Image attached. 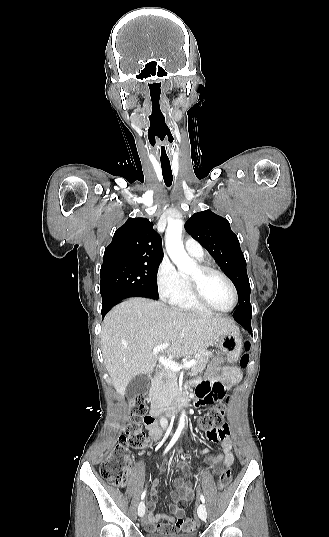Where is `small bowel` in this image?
Returning <instances> with one entry per match:
<instances>
[{
  "mask_svg": "<svg viewBox=\"0 0 329 537\" xmlns=\"http://www.w3.org/2000/svg\"><path fill=\"white\" fill-rule=\"evenodd\" d=\"M219 371V361H214L207 374L208 377H204L203 381H197L195 388L193 389L194 396V408L198 411L203 410L205 406L217 405L219 400H224L231 393L228 386L221 382L216 381L215 377ZM228 383L235 384L241 379V372L238 368H227ZM146 429L149 433L155 434L158 432L157 426L153 423L147 424ZM206 439L215 444L220 443L222 453L209 457L207 463L211 466H218L222 464L225 468H230L234 462V454L232 449V440L229 437V427L225 425L222 430H212L210 433L206 432ZM200 453H208L207 449L199 450ZM183 476H179L174 480V486L176 491L170 493V497L173 501L169 505L170 511L175 517L167 514H156L154 510L156 508V496L159 487V481L155 480L152 483L151 497L152 499L147 503V514L143 520V525L148 532L158 533H176L183 530L181 520L184 515L183 507L187 505L188 501L194 497V489L192 483L187 479L190 474V468L183 464L181 466ZM218 472V470H216ZM164 520V524L159 522Z\"/></svg>",
  "mask_w": 329,
  "mask_h": 537,
  "instance_id": "c3829d8e",
  "label": "small bowel"
}]
</instances>
